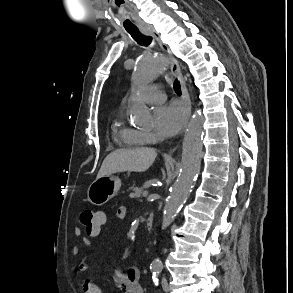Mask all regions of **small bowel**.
<instances>
[{
  "mask_svg": "<svg viewBox=\"0 0 293 293\" xmlns=\"http://www.w3.org/2000/svg\"><path fill=\"white\" fill-rule=\"evenodd\" d=\"M126 207L121 206L118 208L116 216L119 219H124L126 216ZM98 215L101 217V225L96 231H85L86 236H83V231L80 227H76L74 229L75 236L82 239L83 243L91 247L92 246V237H97L101 232V227L106 224V215L103 212H98ZM74 255L79 253V247L75 245L72 249ZM93 252L90 251L89 253L85 254L83 258L80 260L76 267V272L79 274L82 271H85L89 265L92 258ZM114 281L115 284L122 290L123 293H143V288L141 285V274L138 268L130 267L125 271L118 270L114 274ZM98 287L93 281L86 280L82 284V289L84 293H92L93 287ZM99 288V287H98ZM100 289V288H99ZM100 293L101 290H100Z\"/></svg>",
  "mask_w": 293,
  "mask_h": 293,
  "instance_id": "obj_1",
  "label": "small bowel"
}]
</instances>
